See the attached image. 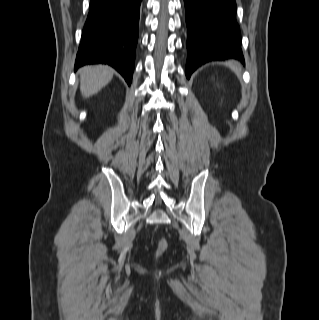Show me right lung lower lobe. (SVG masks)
I'll return each instance as SVG.
<instances>
[{
	"instance_id": "98d812e1",
	"label": "right lung lower lobe",
	"mask_w": 319,
	"mask_h": 320,
	"mask_svg": "<svg viewBox=\"0 0 319 320\" xmlns=\"http://www.w3.org/2000/svg\"><path fill=\"white\" fill-rule=\"evenodd\" d=\"M141 0H90L75 69L86 64L113 66L130 85L135 64Z\"/></svg>"
}]
</instances>
